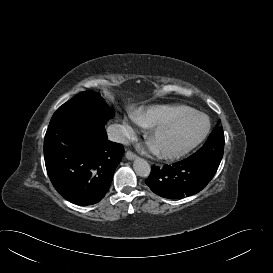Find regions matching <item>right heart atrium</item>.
Masks as SVG:
<instances>
[{
  "label": "right heart atrium",
  "instance_id": "obj_1",
  "mask_svg": "<svg viewBox=\"0 0 273 273\" xmlns=\"http://www.w3.org/2000/svg\"><path fill=\"white\" fill-rule=\"evenodd\" d=\"M122 128L126 135H133L134 134V127L131 123H129L127 120L122 121Z\"/></svg>",
  "mask_w": 273,
  "mask_h": 273
}]
</instances>
